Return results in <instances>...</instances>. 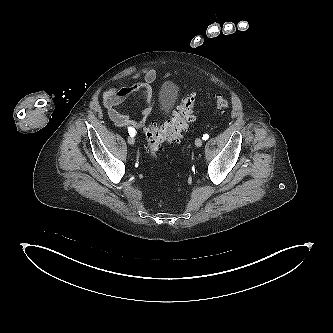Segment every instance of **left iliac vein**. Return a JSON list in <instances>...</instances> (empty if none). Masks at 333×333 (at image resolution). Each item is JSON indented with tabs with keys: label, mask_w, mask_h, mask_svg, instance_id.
I'll return each mask as SVG.
<instances>
[{
	"label": "left iliac vein",
	"mask_w": 333,
	"mask_h": 333,
	"mask_svg": "<svg viewBox=\"0 0 333 333\" xmlns=\"http://www.w3.org/2000/svg\"><path fill=\"white\" fill-rule=\"evenodd\" d=\"M195 145H196L197 147H200V146L202 145V139H201V138H197V139L195 140Z\"/></svg>",
	"instance_id": "obj_1"
}]
</instances>
